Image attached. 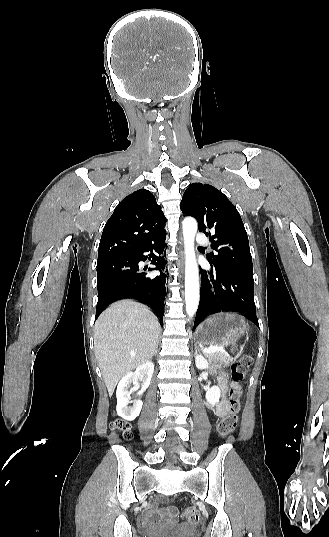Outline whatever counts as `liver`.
Wrapping results in <instances>:
<instances>
[{
	"instance_id": "liver-1",
	"label": "liver",
	"mask_w": 329,
	"mask_h": 537,
	"mask_svg": "<svg viewBox=\"0 0 329 537\" xmlns=\"http://www.w3.org/2000/svg\"><path fill=\"white\" fill-rule=\"evenodd\" d=\"M160 329L148 307L133 300L118 301L98 317L94 350L110 396L123 376L151 360Z\"/></svg>"
}]
</instances>
